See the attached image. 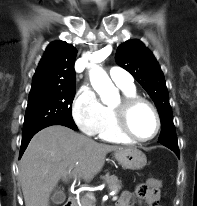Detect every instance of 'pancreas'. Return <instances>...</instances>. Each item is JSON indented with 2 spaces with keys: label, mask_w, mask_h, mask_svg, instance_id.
I'll list each match as a JSON object with an SVG mask.
<instances>
[{
  "label": "pancreas",
  "mask_w": 197,
  "mask_h": 206,
  "mask_svg": "<svg viewBox=\"0 0 197 206\" xmlns=\"http://www.w3.org/2000/svg\"><path fill=\"white\" fill-rule=\"evenodd\" d=\"M105 181L108 185L109 190L118 191L121 189V181L114 175L106 176ZM80 206H95L93 193H87L80 199Z\"/></svg>",
  "instance_id": "pancreas-1"
}]
</instances>
